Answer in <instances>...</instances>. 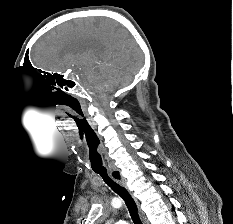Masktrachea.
I'll use <instances>...</instances> for the list:
<instances>
[{"mask_svg": "<svg viewBox=\"0 0 233 224\" xmlns=\"http://www.w3.org/2000/svg\"><path fill=\"white\" fill-rule=\"evenodd\" d=\"M96 173L99 174L104 180V182L124 200L134 224H142L141 218L137 210V206L131 195L128 193V191L119 183L111 179L107 172Z\"/></svg>", "mask_w": 233, "mask_h": 224, "instance_id": "obj_1", "label": "trachea"}]
</instances>
